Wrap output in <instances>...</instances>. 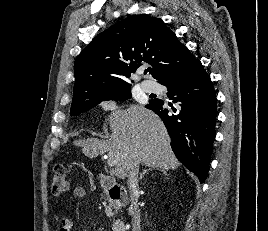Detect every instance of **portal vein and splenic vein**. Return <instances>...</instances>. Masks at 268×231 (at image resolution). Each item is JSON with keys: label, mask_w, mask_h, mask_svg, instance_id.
Instances as JSON below:
<instances>
[{"label": "portal vein and splenic vein", "mask_w": 268, "mask_h": 231, "mask_svg": "<svg viewBox=\"0 0 268 231\" xmlns=\"http://www.w3.org/2000/svg\"><path fill=\"white\" fill-rule=\"evenodd\" d=\"M119 158L117 155H115L114 153H109L108 157H107V165L111 168L114 167L117 162H118Z\"/></svg>", "instance_id": "obj_1"}]
</instances>
